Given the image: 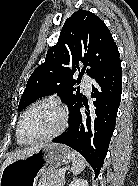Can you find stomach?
<instances>
[{
  "label": "stomach",
  "instance_id": "1",
  "mask_svg": "<svg viewBox=\"0 0 138 186\" xmlns=\"http://www.w3.org/2000/svg\"><path fill=\"white\" fill-rule=\"evenodd\" d=\"M70 149L58 143L43 144L26 158L14 159L2 168L0 186H36L38 177L45 172L68 164Z\"/></svg>",
  "mask_w": 138,
  "mask_h": 186
}]
</instances>
